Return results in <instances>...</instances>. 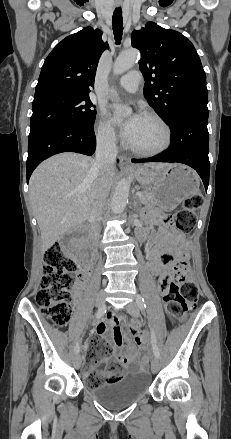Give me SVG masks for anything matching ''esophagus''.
I'll list each match as a JSON object with an SVG mask.
<instances>
[{
  "instance_id": "34e87169",
  "label": "esophagus",
  "mask_w": 231,
  "mask_h": 439,
  "mask_svg": "<svg viewBox=\"0 0 231 439\" xmlns=\"http://www.w3.org/2000/svg\"><path fill=\"white\" fill-rule=\"evenodd\" d=\"M133 167L130 158L126 156L120 157V168L123 170L131 169Z\"/></svg>"
}]
</instances>
